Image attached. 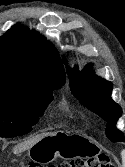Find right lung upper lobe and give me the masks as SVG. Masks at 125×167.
Listing matches in <instances>:
<instances>
[{"label": "right lung upper lobe", "mask_w": 125, "mask_h": 167, "mask_svg": "<svg viewBox=\"0 0 125 167\" xmlns=\"http://www.w3.org/2000/svg\"><path fill=\"white\" fill-rule=\"evenodd\" d=\"M65 79L58 51L38 32L17 24L0 38V93L32 96Z\"/></svg>", "instance_id": "right-lung-upper-lobe-1"}]
</instances>
